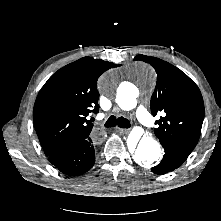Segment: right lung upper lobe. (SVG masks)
Segmentation results:
<instances>
[{
    "instance_id": "1",
    "label": "right lung upper lobe",
    "mask_w": 221,
    "mask_h": 221,
    "mask_svg": "<svg viewBox=\"0 0 221 221\" xmlns=\"http://www.w3.org/2000/svg\"><path fill=\"white\" fill-rule=\"evenodd\" d=\"M114 63L83 57L54 73L40 90L33 121L47 156L90 137L98 112L97 80Z\"/></svg>"
}]
</instances>
